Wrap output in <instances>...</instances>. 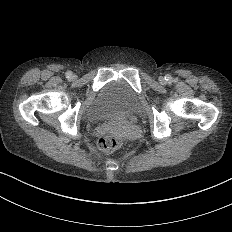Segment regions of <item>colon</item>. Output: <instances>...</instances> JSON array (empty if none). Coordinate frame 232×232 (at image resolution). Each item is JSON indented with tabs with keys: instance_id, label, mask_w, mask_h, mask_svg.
Returning <instances> with one entry per match:
<instances>
[{
	"instance_id": "obj_1",
	"label": "colon",
	"mask_w": 232,
	"mask_h": 232,
	"mask_svg": "<svg viewBox=\"0 0 232 232\" xmlns=\"http://www.w3.org/2000/svg\"><path fill=\"white\" fill-rule=\"evenodd\" d=\"M107 137L100 142V148L105 153H110L115 149V142L121 140L126 134L125 125L119 120L110 121L105 127Z\"/></svg>"
}]
</instances>
